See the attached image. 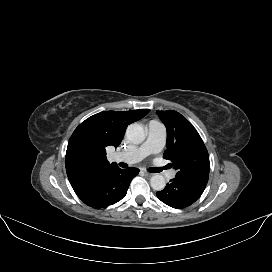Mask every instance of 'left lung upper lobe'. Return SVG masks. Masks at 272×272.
<instances>
[{"mask_svg": "<svg viewBox=\"0 0 272 272\" xmlns=\"http://www.w3.org/2000/svg\"><path fill=\"white\" fill-rule=\"evenodd\" d=\"M167 129V149L163 157L173 163L176 177L208 176L207 149L193 125L174 110L157 111Z\"/></svg>", "mask_w": 272, "mask_h": 272, "instance_id": "5c2ea615", "label": "left lung upper lobe"}]
</instances>
